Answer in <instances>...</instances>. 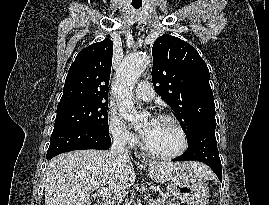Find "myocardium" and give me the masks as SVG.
Segmentation results:
<instances>
[{"label":"myocardium","instance_id":"obj_1","mask_svg":"<svg viewBox=\"0 0 269 205\" xmlns=\"http://www.w3.org/2000/svg\"><path fill=\"white\" fill-rule=\"evenodd\" d=\"M157 119L169 121L175 126V128L177 129V131L179 132L181 136V140H182L181 147L174 152L162 154V153L154 152L151 149H149L145 141H143L141 144L142 151L147 156L155 158V159H160V160H169V159H173L182 155L187 150L188 145H189L188 135L182 123L174 115L169 114V113H162L157 117Z\"/></svg>","mask_w":269,"mask_h":205}]
</instances>
